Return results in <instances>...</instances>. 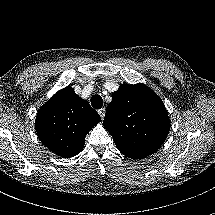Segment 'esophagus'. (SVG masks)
<instances>
[{
	"instance_id": "34e87169",
	"label": "esophagus",
	"mask_w": 215,
	"mask_h": 215,
	"mask_svg": "<svg viewBox=\"0 0 215 215\" xmlns=\"http://www.w3.org/2000/svg\"><path fill=\"white\" fill-rule=\"evenodd\" d=\"M105 113H106V109L105 108H101V109L98 110V114L100 115V117L102 119H104Z\"/></svg>"
}]
</instances>
